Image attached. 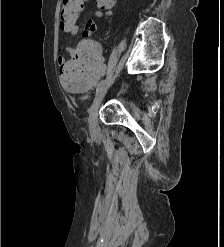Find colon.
Returning a JSON list of instances; mask_svg holds the SVG:
<instances>
[{
    "mask_svg": "<svg viewBox=\"0 0 224 247\" xmlns=\"http://www.w3.org/2000/svg\"><path fill=\"white\" fill-rule=\"evenodd\" d=\"M82 2L83 0H62L59 21L63 30L77 24ZM114 5L115 0H98V6L106 11ZM105 71L100 47L94 39L89 38L82 41L75 55L61 65V82L70 91L87 92L103 77Z\"/></svg>",
    "mask_w": 224,
    "mask_h": 247,
    "instance_id": "1",
    "label": "colon"
}]
</instances>
